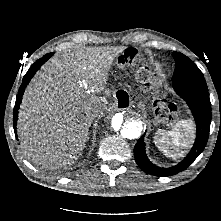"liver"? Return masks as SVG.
<instances>
[{
  "mask_svg": "<svg viewBox=\"0 0 221 221\" xmlns=\"http://www.w3.org/2000/svg\"><path fill=\"white\" fill-rule=\"evenodd\" d=\"M125 47H90L50 59L23 96L17 131L27 157L40 164L71 165L79 159L89 128L107 111L114 59Z\"/></svg>",
  "mask_w": 221,
  "mask_h": 221,
  "instance_id": "liver-1",
  "label": "liver"
}]
</instances>
